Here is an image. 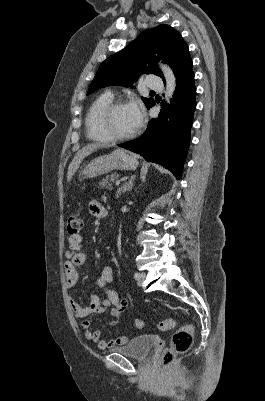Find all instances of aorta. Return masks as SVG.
Listing matches in <instances>:
<instances>
[{"mask_svg":"<svg viewBox=\"0 0 265 401\" xmlns=\"http://www.w3.org/2000/svg\"><path fill=\"white\" fill-rule=\"evenodd\" d=\"M161 70L166 78V96L167 98H170L175 90L176 78L174 76L172 68H170V66H167V64H161Z\"/></svg>","mask_w":265,"mask_h":401,"instance_id":"obj_1","label":"aorta"}]
</instances>
